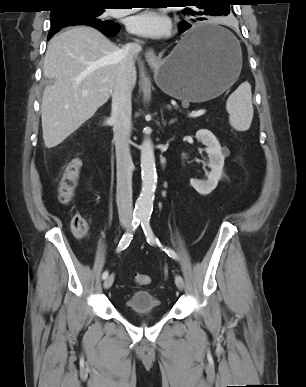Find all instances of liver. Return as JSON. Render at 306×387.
<instances>
[{
	"label": "liver",
	"instance_id": "liver-1",
	"mask_svg": "<svg viewBox=\"0 0 306 387\" xmlns=\"http://www.w3.org/2000/svg\"><path fill=\"white\" fill-rule=\"evenodd\" d=\"M120 50L91 27H74L50 40L44 76L53 84L46 86L41 105L47 148L62 143L108 101L118 75ZM135 83L134 69L133 87ZM84 90L86 95H82Z\"/></svg>",
	"mask_w": 306,
	"mask_h": 387
}]
</instances>
